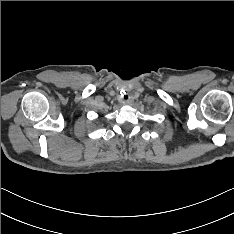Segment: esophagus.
Masks as SVG:
<instances>
[{
    "label": "esophagus",
    "mask_w": 234,
    "mask_h": 234,
    "mask_svg": "<svg viewBox=\"0 0 234 234\" xmlns=\"http://www.w3.org/2000/svg\"><path fill=\"white\" fill-rule=\"evenodd\" d=\"M127 101L123 100V103H126Z\"/></svg>",
    "instance_id": "34e87169"
}]
</instances>
